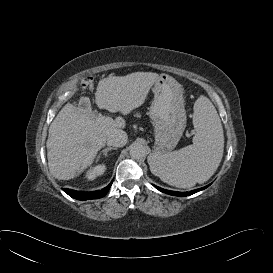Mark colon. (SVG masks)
Returning <instances> with one entry per match:
<instances>
[{
    "label": "colon",
    "instance_id": "colon-1",
    "mask_svg": "<svg viewBox=\"0 0 273 273\" xmlns=\"http://www.w3.org/2000/svg\"><path fill=\"white\" fill-rule=\"evenodd\" d=\"M90 86V81H89V79H83L81 82H80V87L82 88V89H86V88H88Z\"/></svg>",
    "mask_w": 273,
    "mask_h": 273
}]
</instances>
